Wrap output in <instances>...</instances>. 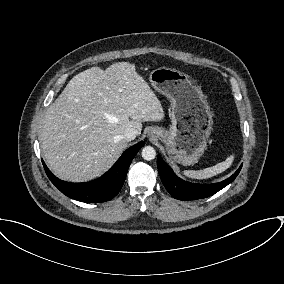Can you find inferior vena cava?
Segmentation results:
<instances>
[{
    "mask_svg": "<svg viewBox=\"0 0 284 284\" xmlns=\"http://www.w3.org/2000/svg\"><path fill=\"white\" fill-rule=\"evenodd\" d=\"M137 132L134 128H127L123 134V138L127 141L134 140Z\"/></svg>",
    "mask_w": 284,
    "mask_h": 284,
    "instance_id": "1",
    "label": "inferior vena cava"
}]
</instances>
